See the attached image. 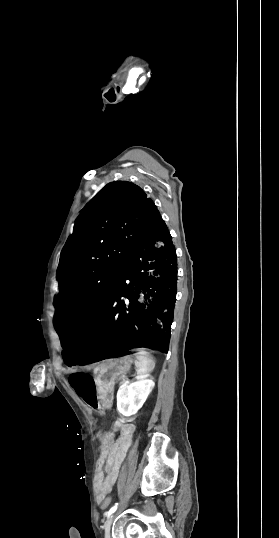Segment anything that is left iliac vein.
Segmentation results:
<instances>
[{
    "label": "left iliac vein",
    "instance_id": "4c4485c4",
    "mask_svg": "<svg viewBox=\"0 0 279 538\" xmlns=\"http://www.w3.org/2000/svg\"><path fill=\"white\" fill-rule=\"evenodd\" d=\"M114 515H111L105 523V538H110V529Z\"/></svg>",
    "mask_w": 279,
    "mask_h": 538
}]
</instances>
